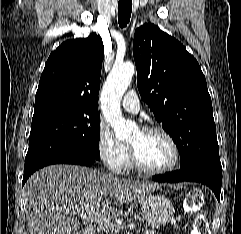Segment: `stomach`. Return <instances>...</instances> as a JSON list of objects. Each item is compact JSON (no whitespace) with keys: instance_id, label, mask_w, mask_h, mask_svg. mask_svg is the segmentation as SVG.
<instances>
[{"instance_id":"stomach-1","label":"stomach","mask_w":241,"mask_h":234,"mask_svg":"<svg viewBox=\"0 0 241 234\" xmlns=\"http://www.w3.org/2000/svg\"><path fill=\"white\" fill-rule=\"evenodd\" d=\"M141 210L152 227L166 225L174 215L171 201L162 195H148L140 198Z\"/></svg>"}]
</instances>
